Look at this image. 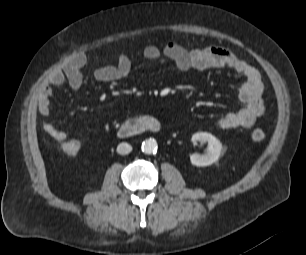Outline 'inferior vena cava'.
<instances>
[{
    "mask_svg": "<svg viewBox=\"0 0 306 255\" xmlns=\"http://www.w3.org/2000/svg\"><path fill=\"white\" fill-rule=\"evenodd\" d=\"M132 151V146L128 143H120L117 146V152L121 155L128 154Z\"/></svg>",
    "mask_w": 306,
    "mask_h": 255,
    "instance_id": "602c4592",
    "label": "inferior vena cava"
}]
</instances>
